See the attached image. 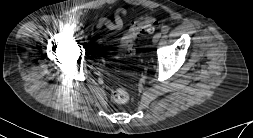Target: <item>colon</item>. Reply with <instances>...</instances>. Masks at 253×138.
Returning a JSON list of instances; mask_svg holds the SVG:
<instances>
[{"mask_svg": "<svg viewBox=\"0 0 253 138\" xmlns=\"http://www.w3.org/2000/svg\"><path fill=\"white\" fill-rule=\"evenodd\" d=\"M155 25L156 21L151 17L133 22L118 46L117 55L120 56L131 53L137 38L145 33H153ZM129 96V92L124 88H117L112 94L113 100L119 104L126 103L129 100Z\"/></svg>", "mask_w": 253, "mask_h": 138, "instance_id": "1", "label": "colon"}]
</instances>
